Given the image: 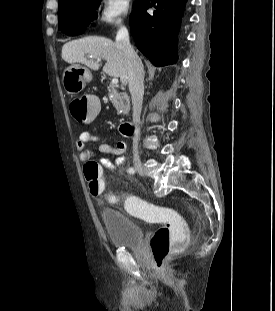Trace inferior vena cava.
Returning <instances> with one entry per match:
<instances>
[{
    "instance_id": "obj_1",
    "label": "inferior vena cava",
    "mask_w": 275,
    "mask_h": 311,
    "mask_svg": "<svg viewBox=\"0 0 275 311\" xmlns=\"http://www.w3.org/2000/svg\"><path fill=\"white\" fill-rule=\"evenodd\" d=\"M116 44L123 51L128 60V86L132 99L133 122L139 123L144 94V70L141 59L134 51L129 41L126 27L121 26L116 35ZM139 132L133 138V155L138 157Z\"/></svg>"
}]
</instances>
